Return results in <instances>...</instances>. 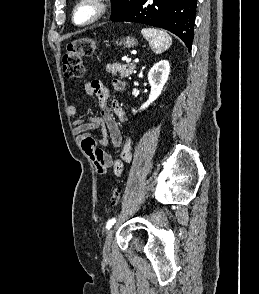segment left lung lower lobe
<instances>
[{"instance_id":"0a47b994","label":"left lung lower lobe","mask_w":259,"mask_h":294,"mask_svg":"<svg viewBox=\"0 0 259 294\" xmlns=\"http://www.w3.org/2000/svg\"><path fill=\"white\" fill-rule=\"evenodd\" d=\"M197 0H136L133 6L111 17L112 21L143 23L166 29L191 49Z\"/></svg>"}]
</instances>
